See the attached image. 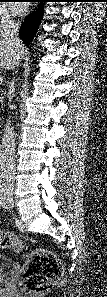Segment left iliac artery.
<instances>
[{
    "instance_id": "44dca946",
    "label": "left iliac artery",
    "mask_w": 107,
    "mask_h": 297,
    "mask_svg": "<svg viewBox=\"0 0 107 297\" xmlns=\"http://www.w3.org/2000/svg\"><path fill=\"white\" fill-rule=\"evenodd\" d=\"M0 204L2 205V206H5L6 205V197L4 196V194H1V197H0Z\"/></svg>"
}]
</instances>
